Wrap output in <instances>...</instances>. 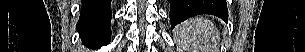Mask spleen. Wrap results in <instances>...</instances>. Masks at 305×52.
<instances>
[{"label":"spleen","instance_id":"obj_1","mask_svg":"<svg viewBox=\"0 0 305 52\" xmlns=\"http://www.w3.org/2000/svg\"><path fill=\"white\" fill-rule=\"evenodd\" d=\"M174 33L181 47L188 52H218L220 32L207 18L192 17L179 24Z\"/></svg>","mask_w":305,"mask_h":52}]
</instances>
